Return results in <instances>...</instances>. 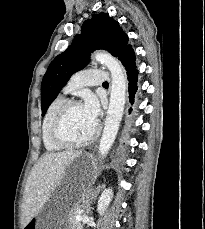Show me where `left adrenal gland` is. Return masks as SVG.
Returning <instances> with one entry per match:
<instances>
[{
	"label": "left adrenal gland",
	"instance_id": "a2214340",
	"mask_svg": "<svg viewBox=\"0 0 205 229\" xmlns=\"http://www.w3.org/2000/svg\"><path fill=\"white\" fill-rule=\"evenodd\" d=\"M101 188H105V185L98 186L96 190L92 191L90 194L86 195V200L83 201V208L85 209L86 213L90 212V204L96 198L97 194L100 192Z\"/></svg>",
	"mask_w": 205,
	"mask_h": 229
}]
</instances>
